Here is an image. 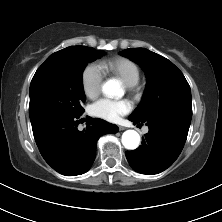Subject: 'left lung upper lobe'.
I'll return each instance as SVG.
<instances>
[{
	"label": "left lung upper lobe",
	"mask_w": 222,
	"mask_h": 222,
	"mask_svg": "<svg viewBox=\"0 0 222 222\" xmlns=\"http://www.w3.org/2000/svg\"><path fill=\"white\" fill-rule=\"evenodd\" d=\"M120 54L138 63L147 77L142 102L129 117L148 120L176 114L191 122L190 86L182 72L171 61L145 48L126 49Z\"/></svg>",
	"instance_id": "obj_1"
}]
</instances>
